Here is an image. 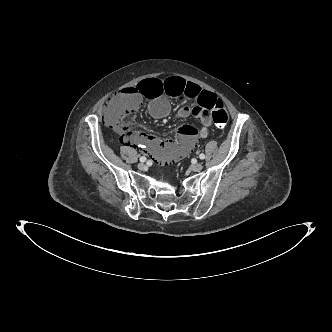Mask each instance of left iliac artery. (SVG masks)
Here are the masks:
<instances>
[{
  "label": "left iliac artery",
  "instance_id": "1",
  "mask_svg": "<svg viewBox=\"0 0 332 332\" xmlns=\"http://www.w3.org/2000/svg\"><path fill=\"white\" fill-rule=\"evenodd\" d=\"M199 158L203 160V159H205V155H204L203 153H201V154L199 155Z\"/></svg>",
  "mask_w": 332,
  "mask_h": 332
}]
</instances>
